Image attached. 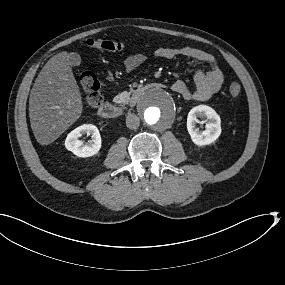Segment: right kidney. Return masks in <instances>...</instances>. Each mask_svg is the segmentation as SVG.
I'll return each mask as SVG.
<instances>
[{"label":"right kidney","mask_w":285,"mask_h":285,"mask_svg":"<svg viewBox=\"0 0 285 285\" xmlns=\"http://www.w3.org/2000/svg\"><path fill=\"white\" fill-rule=\"evenodd\" d=\"M84 134H91L92 140L88 144H84L79 140ZM102 147V141L99 131L96 126L84 124L79 126L68 134L65 140V148L71 151L74 155L81 158L92 157L96 155Z\"/></svg>","instance_id":"ca27d5eb"}]
</instances>
